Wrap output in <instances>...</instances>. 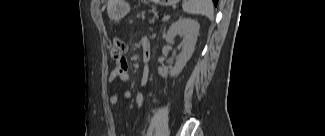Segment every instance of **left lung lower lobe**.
I'll use <instances>...</instances> for the list:
<instances>
[{"instance_id": "0a47b994", "label": "left lung lower lobe", "mask_w": 325, "mask_h": 136, "mask_svg": "<svg viewBox=\"0 0 325 136\" xmlns=\"http://www.w3.org/2000/svg\"><path fill=\"white\" fill-rule=\"evenodd\" d=\"M213 2H214V5L216 6V5H217V2H218V0H213Z\"/></svg>"}]
</instances>
